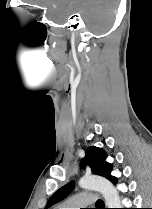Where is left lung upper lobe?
Wrapping results in <instances>:
<instances>
[{
  "mask_svg": "<svg viewBox=\"0 0 152 209\" xmlns=\"http://www.w3.org/2000/svg\"><path fill=\"white\" fill-rule=\"evenodd\" d=\"M106 157L107 154L103 149L92 146L86 150L85 158L82 159L81 165L82 167L89 165L93 174L103 176L113 184H116L118 182L117 178L111 175L112 165L106 162ZM73 189V181L61 187L51 196L45 209L64 199L72 192Z\"/></svg>",
  "mask_w": 152,
  "mask_h": 209,
  "instance_id": "left-lung-upper-lobe-1",
  "label": "left lung upper lobe"
}]
</instances>
